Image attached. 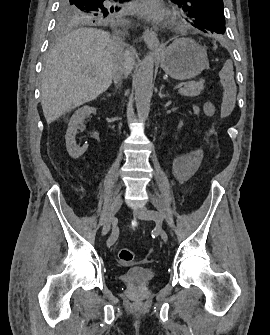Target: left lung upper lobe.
I'll use <instances>...</instances> for the list:
<instances>
[{
  "label": "left lung upper lobe",
  "instance_id": "1",
  "mask_svg": "<svg viewBox=\"0 0 270 335\" xmlns=\"http://www.w3.org/2000/svg\"><path fill=\"white\" fill-rule=\"evenodd\" d=\"M192 19L193 25L217 34L225 32L223 0H172Z\"/></svg>",
  "mask_w": 270,
  "mask_h": 335
}]
</instances>
